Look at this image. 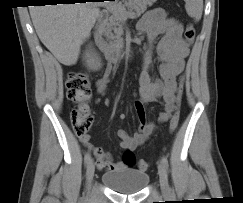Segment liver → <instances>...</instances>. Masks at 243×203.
<instances>
[{"label": "liver", "mask_w": 243, "mask_h": 203, "mask_svg": "<svg viewBox=\"0 0 243 203\" xmlns=\"http://www.w3.org/2000/svg\"><path fill=\"white\" fill-rule=\"evenodd\" d=\"M99 3L31 6L36 33L56 59L66 65L77 62L80 46L99 16Z\"/></svg>", "instance_id": "6515ba94"}]
</instances>
